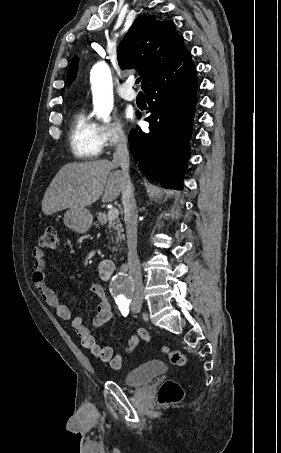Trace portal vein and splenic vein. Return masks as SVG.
<instances>
[{
  "label": "portal vein and splenic vein",
  "instance_id": "18ae733b",
  "mask_svg": "<svg viewBox=\"0 0 281 453\" xmlns=\"http://www.w3.org/2000/svg\"><path fill=\"white\" fill-rule=\"evenodd\" d=\"M118 214V208H109L107 218L108 220H115V218H118Z\"/></svg>",
  "mask_w": 281,
  "mask_h": 453
}]
</instances>
